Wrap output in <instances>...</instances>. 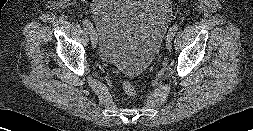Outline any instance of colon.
Wrapping results in <instances>:
<instances>
[{"instance_id":"obj_1","label":"colon","mask_w":253,"mask_h":131,"mask_svg":"<svg viewBox=\"0 0 253 131\" xmlns=\"http://www.w3.org/2000/svg\"><path fill=\"white\" fill-rule=\"evenodd\" d=\"M122 88L124 93L129 96V97H133L136 95V89L134 87V85L129 82V81H124L122 84Z\"/></svg>"}]
</instances>
